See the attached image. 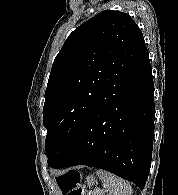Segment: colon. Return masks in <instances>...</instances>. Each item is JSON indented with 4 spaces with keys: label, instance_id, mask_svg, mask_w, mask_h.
I'll use <instances>...</instances> for the list:
<instances>
[{
    "label": "colon",
    "instance_id": "5ec220e1",
    "mask_svg": "<svg viewBox=\"0 0 178 195\" xmlns=\"http://www.w3.org/2000/svg\"><path fill=\"white\" fill-rule=\"evenodd\" d=\"M59 186L64 195H83L77 171L66 172L59 180Z\"/></svg>",
    "mask_w": 178,
    "mask_h": 195
}]
</instances>
